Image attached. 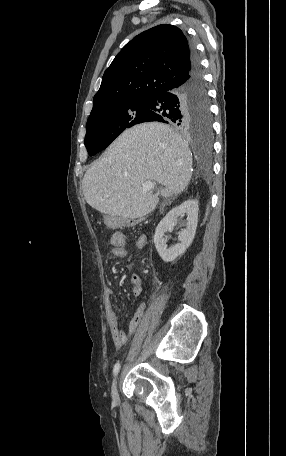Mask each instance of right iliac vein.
<instances>
[{
	"label": "right iliac vein",
	"mask_w": 286,
	"mask_h": 456,
	"mask_svg": "<svg viewBox=\"0 0 286 456\" xmlns=\"http://www.w3.org/2000/svg\"><path fill=\"white\" fill-rule=\"evenodd\" d=\"M112 398L115 402L119 400L118 390H117V378H115L112 388H111Z\"/></svg>",
	"instance_id": "right-iliac-vein-1"
}]
</instances>
